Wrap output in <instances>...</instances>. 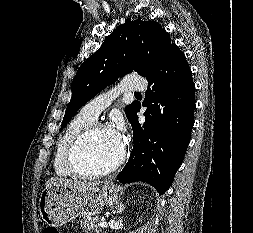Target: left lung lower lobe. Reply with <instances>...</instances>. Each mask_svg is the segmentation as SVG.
<instances>
[{"instance_id": "1", "label": "left lung lower lobe", "mask_w": 253, "mask_h": 233, "mask_svg": "<svg viewBox=\"0 0 253 233\" xmlns=\"http://www.w3.org/2000/svg\"><path fill=\"white\" fill-rule=\"evenodd\" d=\"M149 86L142 105L145 123L138 122L136 104L130 123L133 150L116 181L151 184L160 195L173 182L186 153L193 127L195 85L184 54L174 44L147 76Z\"/></svg>"}]
</instances>
